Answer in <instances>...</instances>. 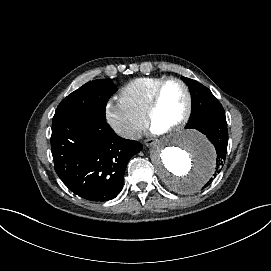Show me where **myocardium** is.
<instances>
[{"label": "myocardium", "mask_w": 271, "mask_h": 271, "mask_svg": "<svg viewBox=\"0 0 271 271\" xmlns=\"http://www.w3.org/2000/svg\"><path fill=\"white\" fill-rule=\"evenodd\" d=\"M172 81L178 82L179 84H181L183 86V88L185 89L186 94H187L188 105H187V110H186L185 114L171 128H169L168 130L165 131L167 133L178 131L181 128H183L185 125H187L188 122L191 120L192 115H193V111H194V96H193V93H192V90H191L189 84L184 79H182L178 76H168V77H165L163 80H161L157 84L155 89L153 90V93L151 96V101H150V104H149V107L147 110V114H146V117H147L150 125L153 126V117L159 108L160 98H161V93L163 91V88L165 87L166 84H168L169 82H172Z\"/></svg>", "instance_id": "obj_1"}]
</instances>
